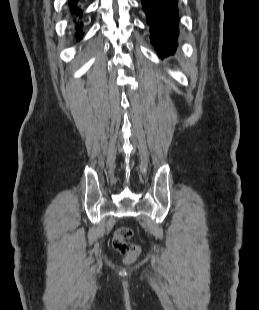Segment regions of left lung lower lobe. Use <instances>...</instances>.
Returning a JSON list of instances; mask_svg holds the SVG:
<instances>
[{"instance_id":"left-lung-lower-lobe-1","label":"left lung lower lobe","mask_w":259,"mask_h":310,"mask_svg":"<svg viewBox=\"0 0 259 310\" xmlns=\"http://www.w3.org/2000/svg\"><path fill=\"white\" fill-rule=\"evenodd\" d=\"M178 0H141L150 27L151 43L165 57L174 54L177 47Z\"/></svg>"}]
</instances>
